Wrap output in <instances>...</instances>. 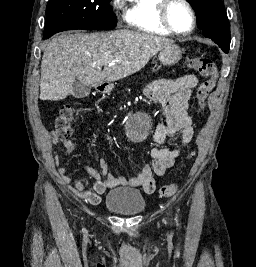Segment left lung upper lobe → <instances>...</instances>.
Instances as JSON below:
<instances>
[{
	"label": "left lung upper lobe",
	"instance_id": "left-lung-upper-lobe-1",
	"mask_svg": "<svg viewBox=\"0 0 256 267\" xmlns=\"http://www.w3.org/2000/svg\"><path fill=\"white\" fill-rule=\"evenodd\" d=\"M195 10L198 28L224 52L230 47V27L222 0H187Z\"/></svg>",
	"mask_w": 256,
	"mask_h": 267
}]
</instances>
